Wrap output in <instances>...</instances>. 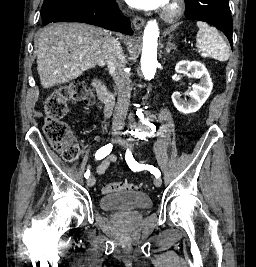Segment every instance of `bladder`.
<instances>
[{"mask_svg":"<svg viewBox=\"0 0 256 267\" xmlns=\"http://www.w3.org/2000/svg\"><path fill=\"white\" fill-rule=\"evenodd\" d=\"M99 205L105 210L140 209L152 206L148 195H109L99 200Z\"/></svg>","mask_w":256,"mask_h":267,"instance_id":"1","label":"bladder"}]
</instances>
